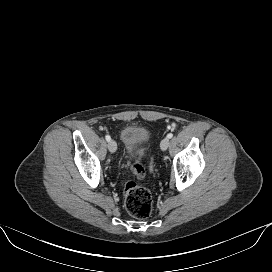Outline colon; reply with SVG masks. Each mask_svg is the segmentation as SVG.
I'll list each match as a JSON object with an SVG mask.
<instances>
[{"instance_id":"1","label":"colon","mask_w":272,"mask_h":272,"mask_svg":"<svg viewBox=\"0 0 272 272\" xmlns=\"http://www.w3.org/2000/svg\"><path fill=\"white\" fill-rule=\"evenodd\" d=\"M131 170L137 178H142L145 175V168L139 162L134 163ZM124 202L128 213L135 218H147L152 212L153 201L151 194L146 188L134 181H130L125 185Z\"/></svg>"}]
</instances>
